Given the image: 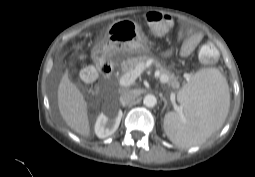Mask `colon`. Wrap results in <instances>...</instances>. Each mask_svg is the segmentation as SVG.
Here are the masks:
<instances>
[{"label":"colon","instance_id":"5ec220e1","mask_svg":"<svg viewBox=\"0 0 255 177\" xmlns=\"http://www.w3.org/2000/svg\"><path fill=\"white\" fill-rule=\"evenodd\" d=\"M146 22L152 32L157 36L166 34L172 27V18L160 12H149L146 14ZM218 50L213 43H204L199 49V58L206 63H213L218 58ZM80 74L83 80L92 82L96 78V70L88 65H82Z\"/></svg>","mask_w":255,"mask_h":177}]
</instances>
